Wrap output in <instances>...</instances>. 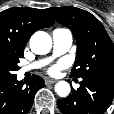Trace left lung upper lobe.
Returning <instances> with one entry per match:
<instances>
[{"instance_id": "1", "label": "left lung upper lobe", "mask_w": 114, "mask_h": 114, "mask_svg": "<svg viewBox=\"0 0 114 114\" xmlns=\"http://www.w3.org/2000/svg\"><path fill=\"white\" fill-rule=\"evenodd\" d=\"M47 11L71 29L77 41L71 76L114 82V44L101 22L91 13L75 7L49 8Z\"/></svg>"}]
</instances>
